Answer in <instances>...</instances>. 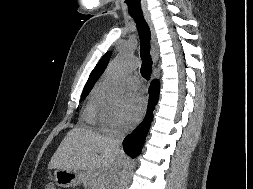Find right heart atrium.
<instances>
[{
    "label": "right heart atrium",
    "mask_w": 253,
    "mask_h": 189,
    "mask_svg": "<svg viewBox=\"0 0 253 189\" xmlns=\"http://www.w3.org/2000/svg\"><path fill=\"white\" fill-rule=\"evenodd\" d=\"M98 110L99 122L105 130L115 131L123 129V111L119 105L106 100L100 94L98 99Z\"/></svg>",
    "instance_id": "d8ad5b80"
}]
</instances>
